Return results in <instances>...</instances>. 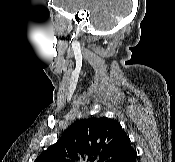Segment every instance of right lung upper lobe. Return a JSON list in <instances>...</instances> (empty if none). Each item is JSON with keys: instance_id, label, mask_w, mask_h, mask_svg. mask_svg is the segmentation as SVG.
Here are the masks:
<instances>
[{"instance_id": "1", "label": "right lung upper lobe", "mask_w": 175, "mask_h": 162, "mask_svg": "<svg viewBox=\"0 0 175 162\" xmlns=\"http://www.w3.org/2000/svg\"><path fill=\"white\" fill-rule=\"evenodd\" d=\"M131 147L130 139L116 120L106 117L76 121L35 162H112Z\"/></svg>"}]
</instances>
